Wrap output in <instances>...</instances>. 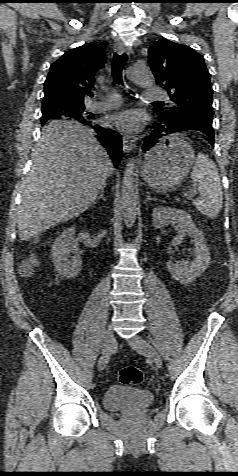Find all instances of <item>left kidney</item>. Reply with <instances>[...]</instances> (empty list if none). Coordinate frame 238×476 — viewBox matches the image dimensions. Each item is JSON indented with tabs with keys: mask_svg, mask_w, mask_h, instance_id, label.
Returning <instances> with one entry per match:
<instances>
[{
	"mask_svg": "<svg viewBox=\"0 0 238 476\" xmlns=\"http://www.w3.org/2000/svg\"><path fill=\"white\" fill-rule=\"evenodd\" d=\"M152 220L155 228H161L170 223L178 226L179 231L172 240L171 246L178 244L187 234L193 238L195 257L192 262L173 260L167 262V268L175 280L183 285L190 284L207 269L210 263V252L204 236L191 216L181 209L156 206L153 209ZM171 246L167 248V253H171Z\"/></svg>",
	"mask_w": 238,
	"mask_h": 476,
	"instance_id": "obj_1",
	"label": "left kidney"
}]
</instances>
